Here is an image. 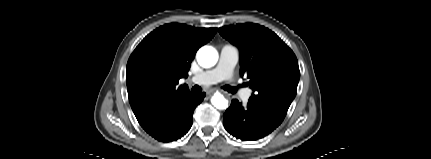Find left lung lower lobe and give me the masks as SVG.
I'll list each match as a JSON object with an SVG mask.
<instances>
[{"label": "left lung lower lobe", "mask_w": 431, "mask_h": 159, "mask_svg": "<svg viewBox=\"0 0 431 159\" xmlns=\"http://www.w3.org/2000/svg\"><path fill=\"white\" fill-rule=\"evenodd\" d=\"M286 113L272 106L248 101L246 106L232 100L223 115L225 129L243 141H254L265 137L284 120Z\"/></svg>", "instance_id": "1"}]
</instances>
